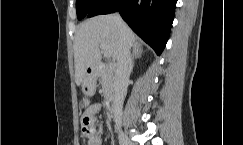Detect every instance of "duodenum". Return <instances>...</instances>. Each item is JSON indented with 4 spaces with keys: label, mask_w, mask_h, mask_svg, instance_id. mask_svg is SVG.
<instances>
[{
    "label": "duodenum",
    "mask_w": 243,
    "mask_h": 145,
    "mask_svg": "<svg viewBox=\"0 0 243 145\" xmlns=\"http://www.w3.org/2000/svg\"><path fill=\"white\" fill-rule=\"evenodd\" d=\"M107 68L104 65H93L88 69V82L93 84L95 80L102 75ZM116 109V100L114 98H109L107 100V110L110 113H114Z\"/></svg>",
    "instance_id": "duodenum-1"
}]
</instances>
